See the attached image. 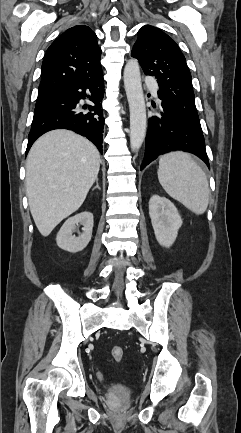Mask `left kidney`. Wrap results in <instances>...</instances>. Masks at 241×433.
I'll return each instance as SVG.
<instances>
[{"label": "left kidney", "mask_w": 241, "mask_h": 433, "mask_svg": "<svg viewBox=\"0 0 241 433\" xmlns=\"http://www.w3.org/2000/svg\"><path fill=\"white\" fill-rule=\"evenodd\" d=\"M149 216L158 243L172 246L182 226V219L174 204L165 197L153 195L149 200Z\"/></svg>", "instance_id": "1"}]
</instances>
